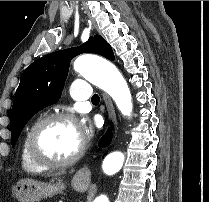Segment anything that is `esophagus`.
Here are the masks:
<instances>
[{
	"label": "esophagus",
	"instance_id": "obj_1",
	"mask_svg": "<svg viewBox=\"0 0 209 202\" xmlns=\"http://www.w3.org/2000/svg\"><path fill=\"white\" fill-rule=\"evenodd\" d=\"M103 100L104 103L106 105V110H107V115H108V121L112 123L114 130L116 132L117 129V120H116V114H115V110L112 104V101L110 99V97L103 93ZM76 177L83 179L85 181H90L91 179V171L89 169V167L84 166L82 168H80L77 172H76Z\"/></svg>",
	"mask_w": 209,
	"mask_h": 202
}]
</instances>
